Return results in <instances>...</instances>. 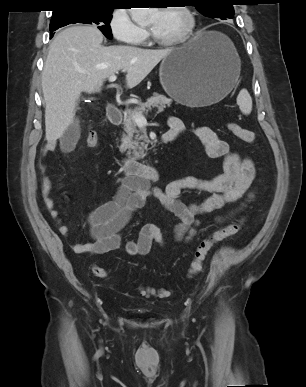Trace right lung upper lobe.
Listing matches in <instances>:
<instances>
[{"instance_id":"obj_1","label":"right lung upper lobe","mask_w":306,"mask_h":387,"mask_svg":"<svg viewBox=\"0 0 306 387\" xmlns=\"http://www.w3.org/2000/svg\"><path fill=\"white\" fill-rule=\"evenodd\" d=\"M57 7L53 11L58 13L63 11L66 8L70 7H91V6H103V7H113L115 0H56Z\"/></svg>"}]
</instances>
